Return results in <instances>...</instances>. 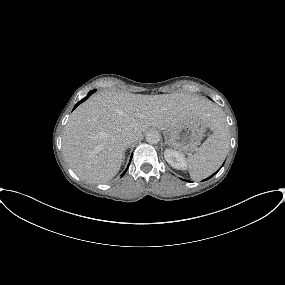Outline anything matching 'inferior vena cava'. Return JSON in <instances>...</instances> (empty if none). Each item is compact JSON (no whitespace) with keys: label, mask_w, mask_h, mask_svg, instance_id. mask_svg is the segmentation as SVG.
<instances>
[{"label":"inferior vena cava","mask_w":285,"mask_h":285,"mask_svg":"<svg viewBox=\"0 0 285 285\" xmlns=\"http://www.w3.org/2000/svg\"><path fill=\"white\" fill-rule=\"evenodd\" d=\"M137 139H138V136L136 134H130L129 133V134L123 135L122 142L126 147H128L132 143H134Z\"/></svg>","instance_id":"inferior-vena-cava-1"}]
</instances>
